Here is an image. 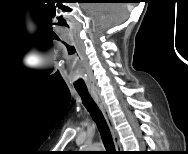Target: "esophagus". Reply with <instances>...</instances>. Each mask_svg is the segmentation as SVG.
Returning <instances> with one entry per match:
<instances>
[{
  "label": "esophagus",
  "mask_w": 188,
  "mask_h": 154,
  "mask_svg": "<svg viewBox=\"0 0 188 154\" xmlns=\"http://www.w3.org/2000/svg\"><path fill=\"white\" fill-rule=\"evenodd\" d=\"M90 94L93 97V99L95 100V102L97 103V105L99 106L100 110L102 111V113L105 117V120L108 124V127L110 129V132H111V135H112V138H113V142H114L116 151L118 153H121L122 146H121V143L119 141V136H118L117 130L115 128L114 122L112 120V117L109 114L107 105L104 102L103 97L100 95L99 91H96V90H91Z\"/></svg>",
  "instance_id": "34e87169"
}]
</instances>
